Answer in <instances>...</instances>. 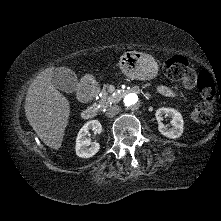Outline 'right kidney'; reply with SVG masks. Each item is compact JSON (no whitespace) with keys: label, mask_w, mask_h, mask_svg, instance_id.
Here are the masks:
<instances>
[{"label":"right kidney","mask_w":221,"mask_h":221,"mask_svg":"<svg viewBox=\"0 0 221 221\" xmlns=\"http://www.w3.org/2000/svg\"><path fill=\"white\" fill-rule=\"evenodd\" d=\"M92 130L94 133L100 134L102 126L98 120L88 121L80 129L76 138V154L81 158H89L94 156L100 149V145L97 142H91L87 135Z\"/></svg>","instance_id":"1"}]
</instances>
